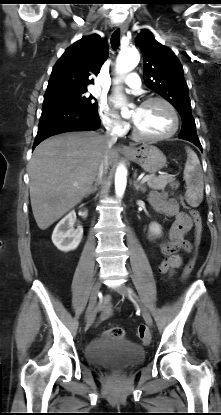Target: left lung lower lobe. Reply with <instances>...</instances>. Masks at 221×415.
<instances>
[{
    "instance_id": "left-lung-lower-lobe-1",
    "label": "left lung lower lobe",
    "mask_w": 221,
    "mask_h": 415,
    "mask_svg": "<svg viewBox=\"0 0 221 415\" xmlns=\"http://www.w3.org/2000/svg\"><path fill=\"white\" fill-rule=\"evenodd\" d=\"M179 138L194 143L202 151V146L196 134L195 128H182Z\"/></svg>"
}]
</instances>
